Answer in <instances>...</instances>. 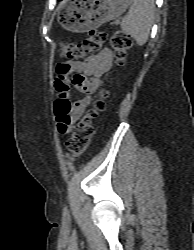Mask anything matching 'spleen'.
Listing matches in <instances>:
<instances>
[{
    "instance_id": "1",
    "label": "spleen",
    "mask_w": 194,
    "mask_h": 250,
    "mask_svg": "<svg viewBox=\"0 0 194 250\" xmlns=\"http://www.w3.org/2000/svg\"><path fill=\"white\" fill-rule=\"evenodd\" d=\"M154 17V0H133L128 14L122 20L121 28L142 46L148 40Z\"/></svg>"
}]
</instances>
